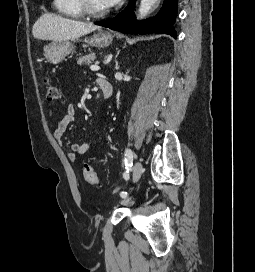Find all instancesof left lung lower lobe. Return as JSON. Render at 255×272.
Instances as JSON below:
<instances>
[{"mask_svg": "<svg viewBox=\"0 0 255 272\" xmlns=\"http://www.w3.org/2000/svg\"><path fill=\"white\" fill-rule=\"evenodd\" d=\"M135 1L136 0H131L129 5L115 18L107 21L95 22V24L123 33H165L174 38L177 37L173 24L177 15L178 0H165L156 17L139 23L136 22L133 12Z\"/></svg>", "mask_w": 255, "mask_h": 272, "instance_id": "0a47b994", "label": "left lung lower lobe"}]
</instances>
